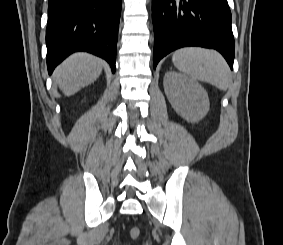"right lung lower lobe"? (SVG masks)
Here are the masks:
<instances>
[{"instance_id": "1", "label": "right lung lower lobe", "mask_w": 283, "mask_h": 245, "mask_svg": "<svg viewBox=\"0 0 283 245\" xmlns=\"http://www.w3.org/2000/svg\"><path fill=\"white\" fill-rule=\"evenodd\" d=\"M121 0H49L47 67L69 54L87 51L105 59L115 72Z\"/></svg>"}]
</instances>
